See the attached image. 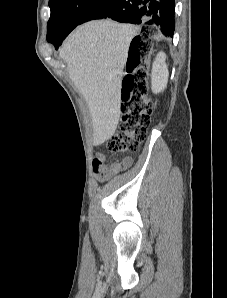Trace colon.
Returning a JSON list of instances; mask_svg holds the SVG:
<instances>
[{
    "mask_svg": "<svg viewBox=\"0 0 227 298\" xmlns=\"http://www.w3.org/2000/svg\"><path fill=\"white\" fill-rule=\"evenodd\" d=\"M152 50L148 33L135 37L121 86V118L117 132L107 142L113 153H134L145 139L153 104L148 97V70L142 65Z\"/></svg>",
    "mask_w": 227,
    "mask_h": 298,
    "instance_id": "colon-1",
    "label": "colon"
}]
</instances>
